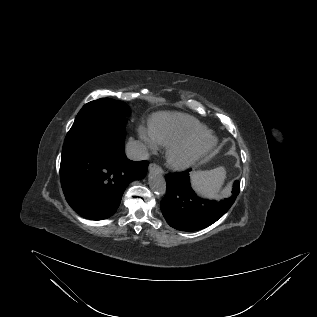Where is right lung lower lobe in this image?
Wrapping results in <instances>:
<instances>
[{
    "label": "right lung lower lobe",
    "instance_id": "1",
    "mask_svg": "<svg viewBox=\"0 0 317 317\" xmlns=\"http://www.w3.org/2000/svg\"><path fill=\"white\" fill-rule=\"evenodd\" d=\"M124 139L123 131H101L62 156V189L68 204L82 217L102 220L112 216L128 184L145 177L148 162L129 160Z\"/></svg>",
    "mask_w": 317,
    "mask_h": 317
}]
</instances>
